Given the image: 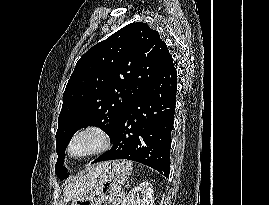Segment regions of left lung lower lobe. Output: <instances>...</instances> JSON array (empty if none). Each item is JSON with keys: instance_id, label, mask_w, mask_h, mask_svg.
Segmentation results:
<instances>
[{"instance_id": "0a47b994", "label": "left lung lower lobe", "mask_w": 269, "mask_h": 205, "mask_svg": "<svg viewBox=\"0 0 269 205\" xmlns=\"http://www.w3.org/2000/svg\"><path fill=\"white\" fill-rule=\"evenodd\" d=\"M176 90L177 71L170 55L155 79L122 114L109 135L113 147L93 163L129 159L168 177Z\"/></svg>"}]
</instances>
